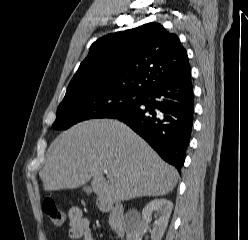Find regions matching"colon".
<instances>
[{
  "instance_id": "5ec220e1",
  "label": "colon",
  "mask_w": 248,
  "mask_h": 240,
  "mask_svg": "<svg viewBox=\"0 0 248 240\" xmlns=\"http://www.w3.org/2000/svg\"><path fill=\"white\" fill-rule=\"evenodd\" d=\"M43 210L56 227H62L65 225L66 216L53 200H45L43 203Z\"/></svg>"
}]
</instances>
